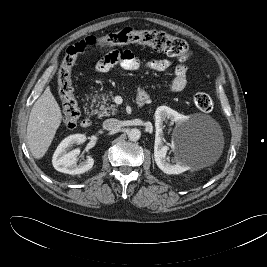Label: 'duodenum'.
I'll list each match as a JSON object with an SVG mask.
<instances>
[{"mask_svg": "<svg viewBox=\"0 0 267 267\" xmlns=\"http://www.w3.org/2000/svg\"><path fill=\"white\" fill-rule=\"evenodd\" d=\"M148 100V95L147 94H142L140 96H137V104L139 107H142L146 104ZM92 123V119L91 117L87 116L85 118L82 119L81 121V126L84 127V128H87L91 125Z\"/></svg>", "mask_w": 267, "mask_h": 267, "instance_id": "410a0bca", "label": "duodenum"}]
</instances>
